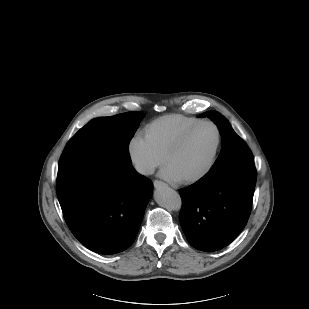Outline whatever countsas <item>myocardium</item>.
Returning <instances> with one entry per match:
<instances>
[{"label":"myocardium","mask_w":309,"mask_h":309,"mask_svg":"<svg viewBox=\"0 0 309 309\" xmlns=\"http://www.w3.org/2000/svg\"><path fill=\"white\" fill-rule=\"evenodd\" d=\"M203 125H210L212 126L217 134V139H216V145L213 151V154L208 162V164L205 166V168L200 171L199 173L190 176V177H185L182 178L180 181L184 184H191L195 183L201 179H203L206 175L210 173V171L213 169L218 153L221 147L222 143V132L220 127L211 120H200L199 122L193 124L189 128H187L183 133H181L177 139L173 142V144L170 146L169 150L167 151L165 155V163L168 164L169 160L177 153V151L182 147V145L186 142V140L189 138V136L200 126Z\"/></svg>","instance_id":"obj_1"}]
</instances>
